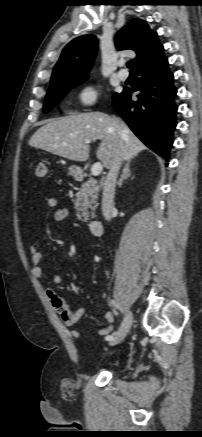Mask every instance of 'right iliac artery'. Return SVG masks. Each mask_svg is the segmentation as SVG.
Wrapping results in <instances>:
<instances>
[{
  "label": "right iliac artery",
  "mask_w": 202,
  "mask_h": 437,
  "mask_svg": "<svg viewBox=\"0 0 202 437\" xmlns=\"http://www.w3.org/2000/svg\"><path fill=\"white\" fill-rule=\"evenodd\" d=\"M111 304L118 308V306L115 304V302H114L113 300L111 301ZM112 339H113V336H112V335H108V336L106 337V340H108V341H110V340H112Z\"/></svg>",
  "instance_id": "obj_1"
}]
</instances>
